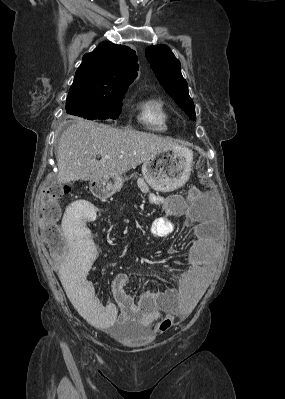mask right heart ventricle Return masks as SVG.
Instances as JSON below:
<instances>
[{"label": "right heart ventricle", "instance_id": "obj_1", "mask_svg": "<svg viewBox=\"0 0 285 399\" xmlns=\"http://www.w3.org/2000/svg\"><path fill=\"white\" fill-rule=\"evenodd\" d=\"M138 121L154 131H165L169 120L164 102L157 97H145L137 101Z\"/></svg>", "mask_w": 285, "mask_h": 399}]
</instances>
